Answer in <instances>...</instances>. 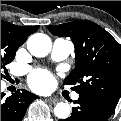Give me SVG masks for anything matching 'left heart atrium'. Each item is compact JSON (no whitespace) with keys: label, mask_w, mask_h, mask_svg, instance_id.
Wrapping results in <instances>:
<instances>
[{"label":"left heart atrium","mask_w":121,"mask_h":121,"mask_svg":"<svg viewBox=\"0 0 121 121\" xmlns=\"http://www.w3.org/2000/svg\"><path fill=\"white\" fill-rule=\"evenodd\" d=\"M29 84L37 92H48L55 86V79L45 70H35L29 77Z\"/></svg>","instance_id":"1"}]
</instances>
